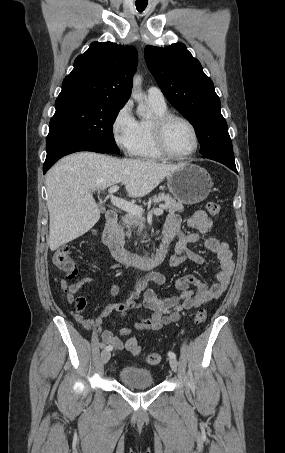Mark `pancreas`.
<instances>
[{
  "mask_svg": "<svg viewBox=\"0 0 285 453\" xmlns=\"http://www.w3.org/2000/svg\"><path fill=\"white\" fill-rule=\"evenodd\" d=\"M161 201H164V204L162 205V207L165 210H167L169 213L184 211V206L181 203L176 202V200L173 199L169 194H165V193H159L158 196H153V198L147 204H148V206H150L152 202L156 203V202H161ZM122 220H123V226H125V228L128 230V232L126 233V235L128 237L131 236L132 227L138 226L140 232L144 228L145 219L142 217V215L128 213ZM123 230H124V227H121V226L115 227V232L122 241L125 236Z\"/></svg>",
  "mask_w": 285,
  "mask_h": 453,
  "instance_id": "pancreas-1",
  "label": "pancreas"
}]
</instances>
